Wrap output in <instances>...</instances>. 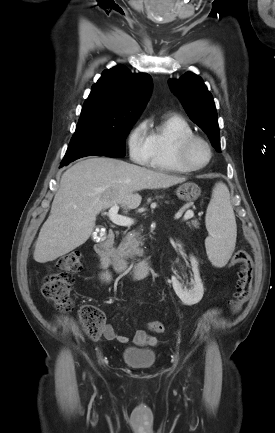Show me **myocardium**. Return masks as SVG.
I'll return each instance as SVG.
<instances>
[{
    "instance_id": "obj_1",
    "label": "myocardium",
    "mask_w": 275,
    "mask_h": 433,
    "mask_svg": "<svg viewBox=\"0 0 275 433\" xmlns=\"http://www.w3.org/2000/svg\"><path fill=\"white\" fill-rule=\"evenodd\" d=\"M195 143H202L208 150V159L205 163L196 164L192 162V160L190 159L189 156L190 149ZM176 156H177L178 163L180 164L181 167L189 171H197L205 168L210 164L213 158V149L207 139H205L200 135L193 134L179 141L177 145Z\"/></svg>"
}]
</instances>
